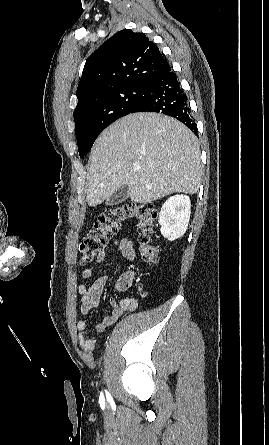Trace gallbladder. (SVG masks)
Instances as JSON below:
<instances>
[{
	"instance_id": "obj_1",
	"label": "gallbladder",
	"mask_w": 269,
	"mask_h": 445,
	"mask_svg": "<svg viewBox=\"0 0 269 445\" xmlns=\"http://www.w3.org/2000/svg\"><path fill=\"white\" fill-rule=\"evenodd\" d=\"M129 197L128 187L126 185L118 188L106 201V205L113 206L124 202Z\"/></svg>"
}]
</instances>
